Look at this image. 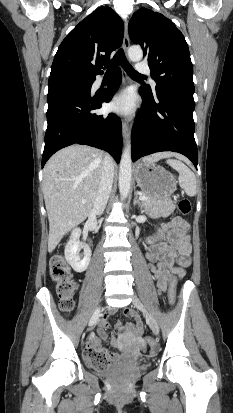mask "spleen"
<instances>
[{"label": "spleen", "mask_w": 233, "mask_h": 413, "mask_svg": "<svg viewBox=\"0 0 233 413\" xmlns=\"http://www.w3.org/2000/svg\"><path fill=\"white\" fill-rule=\"evenodd\" d=\"M167 163L179 173V185L188 196L196 194L195 174L180 160H167Z\"/></svg>", "instance_id": "obj_1"}]
</instances>
